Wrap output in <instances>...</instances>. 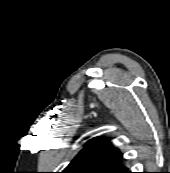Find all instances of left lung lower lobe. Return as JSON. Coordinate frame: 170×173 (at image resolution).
Returning <instances> with one entry per match:
<instances>
[{
    "label": "left lung lower lobe",
    "mask_w": 170,
    "mask_h": 173,
    "mask_svg": "<svg viewBox=\"0 0 170 173\" xmlns=\"http://www.w3.org/2000/svg\"><path fill=\"white\" fill-rule=\"evenodd\" d=\"M122 173H131V172H129L128 168H126Z\"/></svg>",
    "instance_id": "left-lung-lower-lobe-1"
}]
</instances>
